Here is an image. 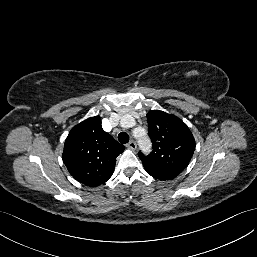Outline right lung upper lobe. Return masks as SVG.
<instances>
[{
  "label": "right lung upper lobe",
  "mask_w": 257,
  "mask_h": 257,
  "mask_svg": "<svg viewBox=\"0 0 257 257\" xmlns=\"http://www.w3.org/2000/svg\"><path fill=\"white\" fill-rule=\"evenodd\" d=\"M125 147L101 126L98 116L74 126L64 144L63 162L80 183L98 186L110 179L116 157Z\"/></svg>",
  "instance_id": "right-lung-upper-lobe-1"
}]
</instances>
